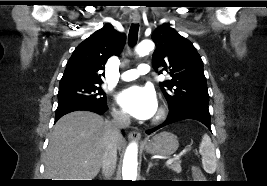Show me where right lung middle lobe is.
<instances>
[{"mask_svg":"<svg viewBox=\"0 0 267 186\" xmlns=\"http://www.w3.org/2000/svg\"><path fill=\"white\" fill-rule=\"evenodd\" d=\"M101 84L76 83L60 85L58 102L70 100H85L106 104V95L100 87Z\"/></svg>","mask_w":267,"mask_h":186,"instance_id":"right-lung-middle-lobe-1","label":"right lung middle lobe"}]
</instances>
